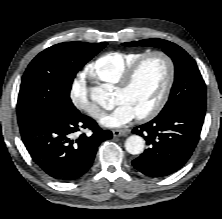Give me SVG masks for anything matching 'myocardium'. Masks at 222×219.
I'll return each instance as SVG.
<instances>
[{
    "label": "myocardium",
    "mask_w": 222,
    "mask_h": 219,
    "mask_svg": "<svg viewBox=\"0 0 222 219\" xmlns=\"http://www.w3.org/2000/svg\"><path fill=\"white\" fill-rule=\"evenodd\" d=\"M152 56H158L161 59H163V61L165 62L166 67H167V79H166V83L164 85L163 91L158 101L156 102V104L145 113L137 116V118L142 121L150 120L156 117L166 105L168 98L170 96L173 84H174V80H175V64H174L173 59L171 58L169 54L161 50H153V51L146 52L126 69V71L123 73L122 77L120 78L119 82L117 83V89L119 90L128 89L133 83L134 78L139 68L141 67V65L149 57H152Z\"/></svg>",
    "instance_id": "1"
}]
</instances>
